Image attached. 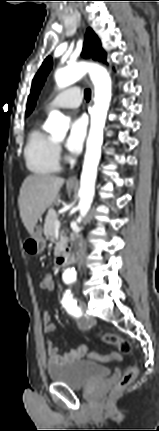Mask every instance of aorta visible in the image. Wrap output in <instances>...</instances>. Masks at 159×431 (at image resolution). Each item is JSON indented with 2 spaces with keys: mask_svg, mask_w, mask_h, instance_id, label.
<instances>
[{
  "mask_svg": "<svg viewBox=\"0 0 159 431\" xmlns=\"http://www.w3.org/2000/svg\"><path fill=\"white\" fill-rule=\"evenodd\" d=\"M89 73L94 84V105L91 111V127L86 145V154L80 180V216L88 213L95 192L97 167L101 157L103 143V128L109 103L111 100V78L107 70L94 63H77L58 69L55 80L59 88H65L80 80ZM45 129L56 138L65 136L68 130L66 118L59 111H52L45 123ZM63 280L71 283L76 280V271L73 267L67 268L63 273Z\"/></svg>",
  "mask_w": 159,
  "mask_h": 431,
  "instance_id": "obj_1",
  "label": "aorta"
}]
</instances>
